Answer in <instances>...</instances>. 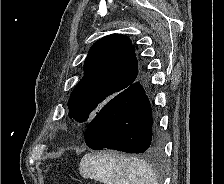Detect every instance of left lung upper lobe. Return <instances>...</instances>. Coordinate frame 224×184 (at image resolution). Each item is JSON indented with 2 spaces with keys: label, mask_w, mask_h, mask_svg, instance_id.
<instances>
[{
  "label": "left lung upper lobe",
  "mask_w": 224,
  "mask_h": 184,
  "mask_svg": "<svg viewBox=\"0 0 224 184\" xmlns=\"http://www.w3.org/2000/svg\"><path fill=\"white\" fill-rule=\"evenodd\" d=\"M138 77V62L131 40L111 34L96 41L85 59L84 76L68 102L69 117L90 121L114 96Z\"/></svg>",
  "instance_id": "5c2ea615"
}]
</instances>
